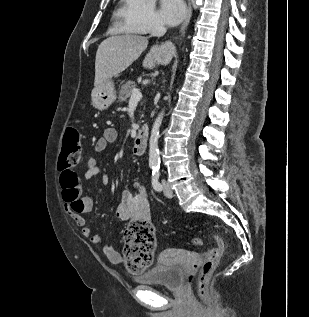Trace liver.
Listing matches in <instances>:
<instances>
[{
  "label": "liver",
  "instance_id": "liver-1",
  "mask_svg": "<svg viewBox=\"0 0 309 317\" xmlns=\"http://www.w3.org/2000/svg\"><path fill=\"white\" fill-rule=\"evenodd\" d=\"M147 37L125 34L108 37L99 45L95 59L94 87L102 85L127 69L147 48ZM175 47L171 42L153 45L143 60V67L153 69L172 60Z\"/></svg>",
  "mask_w": 309,
  "mask_h": 317
}]
</instances>
